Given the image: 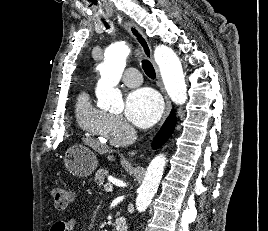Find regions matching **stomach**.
<instances>
[{"label": "stomach", "mask_w": 268, "mask_h": 231, "mask_svg": "<svg viewBox=\"0 0 268 231\" xmlns=\"http://www.w3.org/2000/svg\"><path fill=\"white\" fill-rule=\"evenodd\" d=\"M66 169L74 176H90L97 168L96 155L88 147L76 144L70 147L63 157Z\"/></svg>", "instance_id": "obj_1"}]
</instances>
